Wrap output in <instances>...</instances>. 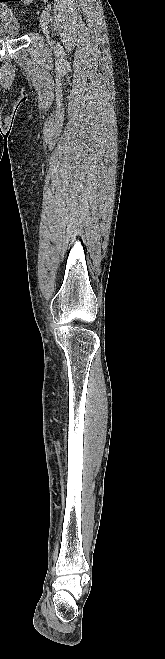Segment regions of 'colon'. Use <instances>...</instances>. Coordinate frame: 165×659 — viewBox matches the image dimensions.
<instances>
[{
  "label": "colon",
  "instance_id": "5ec220e1",
  "mask_svg": "<svg viewBox=\"0 0 165 659\" xmlns=\"http://www.w3.org/2000/svg\"><path fill=\"white\" fill-rule=\"evenodd\" d=\"M23 1L26 2V3H28V2H31L32 0H23Z\"/></svg>",
  "mask_w": 165,
  "mask_h": 659
}]
</instances>
